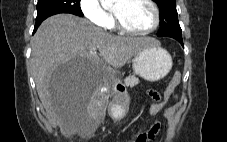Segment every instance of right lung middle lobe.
<instances>
[{"instance_id": "1", "label": "right lung middle lobe", "mask_w": 227, "mask_h": 142, "mask_svg": "<svg viewBox=\"0 0 227 142\" xmlns=\"http://www.w3.org/2000/svg\"><path fill=\"white\" fill-rule=\"evenodd\" d=\"M58 13H71L82 17L80 0H38L36 20Z\"/></svg>"}]
</instances>
